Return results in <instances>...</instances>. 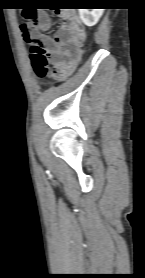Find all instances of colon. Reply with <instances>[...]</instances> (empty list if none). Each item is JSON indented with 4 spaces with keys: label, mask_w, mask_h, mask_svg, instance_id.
Listing matches in <instances>:
<instances>
[{
    "label": "colon",
    "mask_w": 145,
    "mask_h": 278,
    "mask_svg": "<svg viewBox=\"0 0 145 278\" xmlns=\"http://www.w3.org/2000/svg\"><path fill=\"white\" fill-rule=\"evenodd\" d=\"M24 16L25 18H32L33 14L26 12ZM24 40L30 48V57L35 75L38 78H44L49 73V62L43 46L27 34L24 35Z\"/></svg>",
    "instance_id": "obj_1"
}]
</instances>
